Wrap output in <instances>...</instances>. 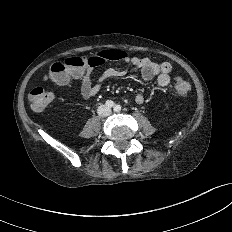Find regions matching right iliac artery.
<instances>
[{
  "label": "right iliac artery",
  "mask_w": 232,
  "mask_h": 232,
  "mask_svg": "<svg viewBox=\"0 0 232 232\" xmlns=\"http://www.w3.org/2000/svg\"><path fill=\"white\" fill-rule=\"evenodd\" d=\"M106 106H108V107H113V106H114V102L111 101V100H107V101H106Z\"/></svg>",
  "instance_id": "obj_1"
}]
</instances>
